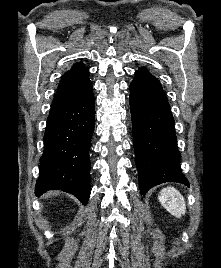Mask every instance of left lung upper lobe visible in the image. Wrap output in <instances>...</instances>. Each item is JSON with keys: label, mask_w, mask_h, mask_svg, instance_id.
Segmentation results:
<instances>
[{"label": "left lung upper lobe", "mask_w": 221, "mask_h": 268, "mask_svg": "<svg viewBox=\"0 0 221 268\" xmlns=\"http://www.w3.org/2000/svg\"><path fill=\"white\" fill-rule=\"evenodd\" d=\"M135 77H139L141 79L160 84V82L151 73H149L145 68H140L139 70H137Z\"/></svg>", "instance_id": "1"}]
</instances>
